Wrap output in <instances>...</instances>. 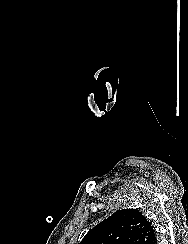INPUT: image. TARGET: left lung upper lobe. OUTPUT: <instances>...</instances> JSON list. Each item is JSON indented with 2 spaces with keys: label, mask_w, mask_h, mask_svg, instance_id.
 Listing matches in <instances>:
<instances>
[{
  "label": "left lung upper lobe",
  "mask_w": 188,
  "mask_h": 244,
  "mask_svg": "<svg viewBox=\"0 0 188 244\" xmlns=\"http://www.w3.org/2000/svg\"><path fill=\"white\" fill-rule=\"evenodd\" d=\"M151 222L138 210L122 209L91 229L80 244H153Z\"/></svg>",
  "instance_id": "1"
}]
</instances>
